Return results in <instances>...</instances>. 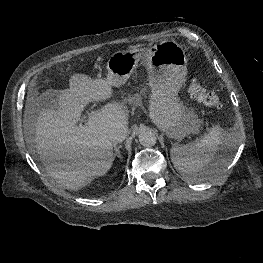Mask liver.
Instances as JSON below:
<instances>
[{"label": "liver", "instance_id": "6515ba94", "mask_svg": "<svg viewBox=\"0 0 263 263\" xmlns=\"http://www.w3.org/2000/svg\"><path fill=\"white\" fill-rule=\"evenodd\" d=\"M69 89L50 91L57 96L58 109H40L33 115L35 99L29 95L24 114V128L33 129L35 148L46 173L62 188L73 191L105 175L113 162L109 133L128 124V110L119 103H108L77 128L84 107L89 102L105 101L113 96L106 79H92L75 73ZM39 104V100H37Z\"/></svg>", "mask_w": 263, "mask_h": 263}]
</instances>
